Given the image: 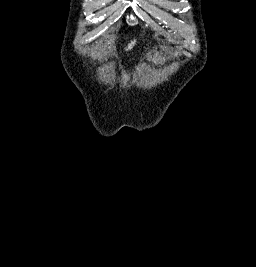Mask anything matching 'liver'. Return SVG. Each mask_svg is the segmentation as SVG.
I'll return each mask as SVG.
<instances>
[{"instance_id":"liver-1","label":"liver","mask_w":256,"mask_h":267,"mask_svg":"<svg viewBox=\"0 0 256 267\" xmlns=\"http://www.w3.org/2000/svg\"><path fill=\"white\" fill-rule=\"evenodd\" d=\"M136 44V40H132V42H130V44H128L127 48H126V52H128V50H132V48H134Z\"/></svg>"}]
</instances>
